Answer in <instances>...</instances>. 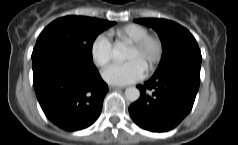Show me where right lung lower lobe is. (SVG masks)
<instances>
[{"label": "right lung lower lobe", "mask_w": 238, "mask_h": 145, "mask_svg": "<svg viewBox=\"0 0 238 145\" xmlns=\"http://www.w3.org/2000/svg\"><path fill=\"white\" fill-rule=\"evenodd\" d=\"M33 84L46 117L65 131L92 125L108 92L94 64L64 53L32 59Z\"/></svg>", "instance_id": "obj_1"}]
</instances>
